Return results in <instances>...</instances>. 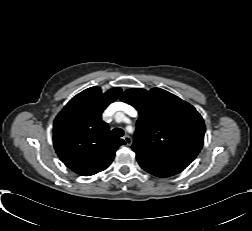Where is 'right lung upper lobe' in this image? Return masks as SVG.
Returning <instances> with one entry per match:
<instances>
[{"instance_id": "cb5924a9", "label": "right lung upper lobe", "mask_w": 252, "mask_h": 231, "mask_svg": "<svg viewBox=\"0 0 252 231\" xmlns=\"http://www.w3.org/2000/svg\"><path fill=\"white\" fill-rule=\"evenodd\" d=\"M112 88L102 93L98 87L88 88L73 97L57 115L53 124V144L58 157L71 170L82 176L106 169L116 150L125 144L110 136L102 112L121 93Z\"/></svg>"}]
</instances>
